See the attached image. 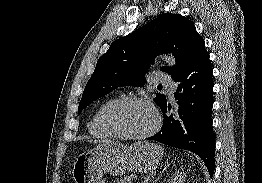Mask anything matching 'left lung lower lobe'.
Segmentation results:
<instances>
[{
    "instance_id": "obj_1",
    "label": "left lung lower lobe",
    "mask_w": 262,
    "mask_h": 183,
    "mask_svg": "<svg viewBox=\"0 0 262 183\" xmlns=\"http://www.w3.org/2000/svg\"><path fill=\"white\" fill-rule=\"evenodd\" d=\"M212 72L209 53L204 47L172 77L178 83L175 112L168 113L171 105L165 101L160 106L163 126L148 138L194 152L204 161L211 176L215 167Z\"/></svg>"
}]
</instances>
